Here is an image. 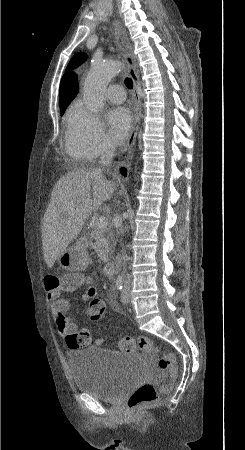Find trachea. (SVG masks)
Instances as JSON below:
<instances>
[{
	"label": "trachea",
	"mask_w": 245,
	"mask_h": 450,
	"mask_svg": "<svg viewBox=\"0 0 245 450\" xmlns=\"http://www.w3.org/2000/svg\"><path fill=\"white\" fill-rule=\"evenodd\" d=\"M125 84H126V86H127L129 89H132V88H133V82H132V79L126 78V79H125Z\"/></svg>",
	"instance_id": "obj_1"
}]
</instances>
